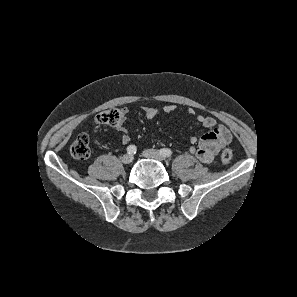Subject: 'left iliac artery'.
<instances>
[{
	"instance_id": "obj_1",
	"label": "left iliac artery",
	"mask_w": 297,
	"mask_h": 297,
	"mask_svg": "<svg viewBox=\"0 0 297 297\" xmlns=\"http://www.w3.org/2000/svg\"><path fill=\"white\" fill-rule=\"evenodd\" d=\"M160 154L163 155L164 157H170L172 155L171 149L168 148H163L159 150Z\"/></svg>"
}]
</instances>
